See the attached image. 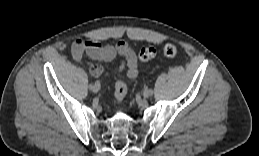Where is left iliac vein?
Wrapping results in <instances>:
<instances>
[{"instance_id": "left-iliac-vein-1", "label": "left iliac vein", "mask_w": 259, "mask_h": 156, "mask_svg": "<svg viewBox=\"0 0 259 156\" xmlns=\"http://www.w3.org/2000/svg\"><path fill=\"white\" fill-rule=\"evenodd\" d=\"M143 96H144L145 98H148V97H150L151 95H149V93H147V89H145L144 92H143Z\"/></svg>"}]
</instances>
